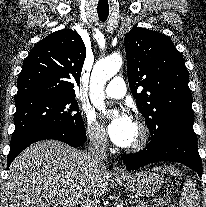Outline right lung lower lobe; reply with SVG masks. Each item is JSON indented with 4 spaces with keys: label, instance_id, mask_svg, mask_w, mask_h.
Returning a JSON list of instances; mask_svg holds the SVG:
<instances>
[{
    "label": "right lung lower lobe",
    "instance_id": "1",
    "mask_svg": "<svg viewBox=\"0 0 206 207\" xmlns=\"http://www.w3.org/2000/svg\"><path fill=\"white\" fill-rule=\"evenodd\" d=\"M45 139H55L65 142L72 147H78L86 142L87 137L86 131L84 133H75L56 127H45L32 130L19 138L11 140L10 152L7 157V168L10 166L14 158L26 147L34 142Z\"/></svg>",
    "mask_w": 206,
    "mask_h": 207
}]
</instances>
